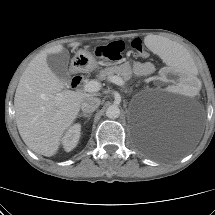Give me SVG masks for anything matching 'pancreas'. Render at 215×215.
<instances>
[{
    "label": "pancreas",
    "mask_w": 215,
    "mask_h": 215,
    "mask_svg": "<svg viewBox=\"0 0 215 215\" xmlns=\"http://www.w3.org/2000/svg\"><path fill=\"white\" fill-rule=\"evenodd\" d=\"M132 68L129 63H124L119 66L108 67L100 71L99 79L105 80L114 74L121 76L124 80H129L132 77Z\"/></svg>",
    "instance_id": "obj_1"
}]
</instances>
